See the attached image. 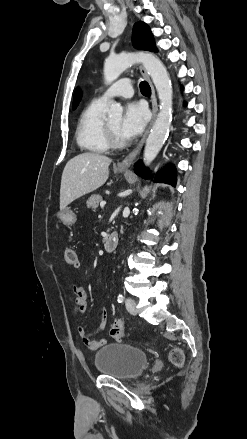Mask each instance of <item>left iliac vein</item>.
Masks as SVG:
<instances>
[{"label": "left iliac vein", "instance_id": "left-iliac-vein-1", "mask_svg": "<svg viewBox=\"0 0 247 439\" xmlns=\"http://www.w3.org/2000/svg\"><path fill=\"white\" fill-rule=\"evenodd\" d=\"M125 306H126L127 311L130 314L136 315V313H137L136 302L132 298H127L125 300Z\"/></svg>", "mask_w": 247, "mask_h": 439}]
</instances>
